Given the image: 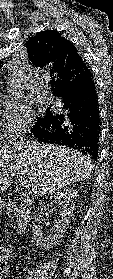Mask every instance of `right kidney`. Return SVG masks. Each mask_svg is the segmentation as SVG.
I'll use <instances>...</instances> for the list:
<instances>
[{
    "mask_svg": "<svg viewBox=\"0 0 113 279\" xmlns=\"http://www.w3.org/2000/svg\"><path fill=\"white\" fill-rule=\"evenodd\" d=\"M77 197V191L74 189H64L63 191L55 193L50 196V204L41 207L38 218L33 223V236L37 242V245L44 249L53 248L58 244L59 240L63 237L65 230L67 229L71 217L73 216V210L75 208V202ZM62 202L63 205L60 208L59 220H54L53 228L47 232L42 230L41 218L48 210L49 207H55L57 203Z\"/></svg>",
    "mask_w": 113,
    "mask_h": 279,
    "instance_id": "ca27d5eb",
    "label": "right kidney"
}]
</instances>
